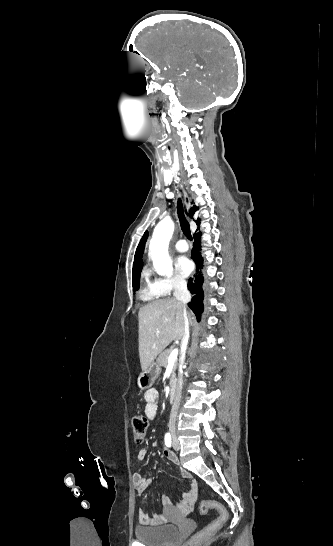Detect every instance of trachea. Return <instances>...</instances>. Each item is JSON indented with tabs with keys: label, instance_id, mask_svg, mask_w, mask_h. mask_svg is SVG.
I'll return each mask as SVG.
<instances>
[{
	"label": "trachea",
	"instance_id": "1",
	"mask_svg": "<svg viewBox=\"0 0 333 546\" xmlns=\"http://www.w3.org/2000/svg\"><path fill=\"white\" fill-rule=\"evenodd\" d=\"M177 213H178V218H179V221H180L181 229H182L184 235L189 240H192L190 226H189V223H188V221L186 220V218L184 216L181 200H178Z\"/></svg>",
	"mask_w": 333,
	"mask_h": 546
}]
</instances>
